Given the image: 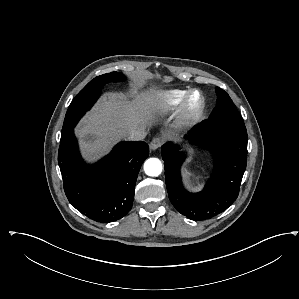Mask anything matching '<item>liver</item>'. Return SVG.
I'll return each mask as SVG.
<instances>
[{
	"instance_id": "1",
	"label": "liver",
	"mask_w": 299,
	"mask_h": 299,
	"mask_svg": "<svg viewBox=\"0 0 299 299\" xmlns=\"http://www.w3.org/2000/svg\"><path fill=\"white\" fill-rule=\"evenodd\" d=\"M159 110L160 100L154 90L136 93L133 100L105 94L79 130L84 156L92 159L107 152L115 141L127 138L131 127L151 125Z\"/></svg>"
}]
</instances>
